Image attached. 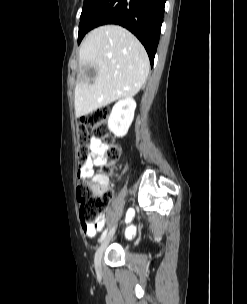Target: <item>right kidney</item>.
Masks as SVG:
<instances>
[{
  "instance_id": "ca27d5eb",
  "label": "right kidney",
  "mask_w": 247,
  "mask_h": 304,
  "mask_svg": "<svg viewBox=\"0 0 247 304\" xmlns=\"http://www.w3.org/2000/svg\"><path fill=\"white\" fill-rule=\"evenodd\" d=\"M136 102L131 97L119 100L108 118V128L117 137H123L134 119Z\"/></svg>"
}]
</instances>
